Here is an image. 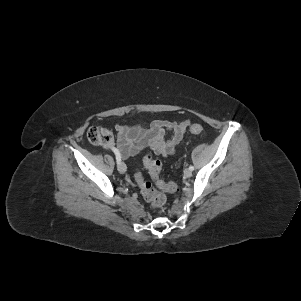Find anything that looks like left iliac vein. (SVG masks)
<instances>
[{
    "mask_svg": "<svg viewBox=\"0 0 301 301\" xmlns=\"http://www.w3.org/2000/svg\"><path fill=\"white\" fill-rule=\"evenodd\" d=\"M184 176H185L186 178L191 177V176H192V171H191L190 169H185V170H184Z\"/></svg>",
    "mask_w": 301,
    "mask_h": 301,
    "instance_id": "left-iliac-vein-1",
    "label": "left iliac vein"
}]
</instances>
